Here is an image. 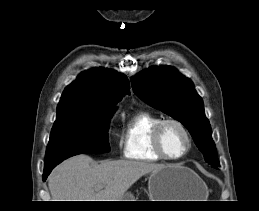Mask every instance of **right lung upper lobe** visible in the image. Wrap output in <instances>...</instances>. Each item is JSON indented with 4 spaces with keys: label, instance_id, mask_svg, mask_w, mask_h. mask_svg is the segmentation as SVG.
I'll return each mask as SVG.
<instances>
[{
    "label": "right lung upper lobe",
    "instance_id": "cb5924a9",
    "mask_svg": "<svg viewBox=\"0 0 259 211\" xmlns=\"http://www.w3.org/2000/svg\"><path fill=\"white\" fill-rule=\"evenodd\" d=\"M130 93L127 78L113 70L92 68L68 85L57 106V115L74 109L101 111L111 109L124 94Z\"/></svg>",
    "mask_w": 259,
    "mask_h": 211
}]
</instances>
